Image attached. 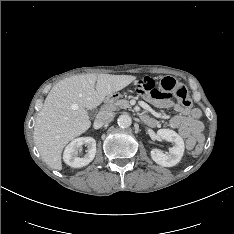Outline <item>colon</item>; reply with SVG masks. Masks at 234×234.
I'll use <instances>...</instances> for the list:
<instances>
[{"label":"colon","mask_w":234,"mask_h":234,"mask_svg":"<svg viewBox=\"0 0 234 234\" xmlns=\"http://www.w3.org/2000/svg\"><path fill=\"white\" fill-rule=\"evenodd\" d=\"M137 89L139 92L147 93L154 98L175 97L183 107L191 106V98L186 87L172 77L163 78L158 86H156L152 78L144 77L137 82ZM191 149H193L196 154H199L202 151V146L194 144L191 146Z\"/></svg>","instance_id":"colon-1"}]
</instances>
